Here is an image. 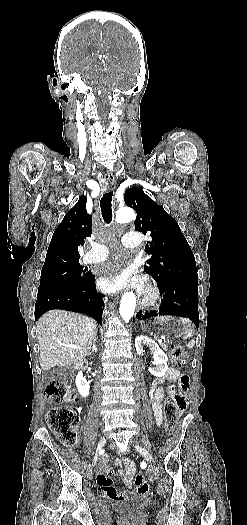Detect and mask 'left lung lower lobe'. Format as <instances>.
Here are the masks:
<instances>
[{"mask_svg": "<svg viewBox=\"0 0 247 525\" xmlns=\"http://www.w3.org/2000/svg\"><path fill=\"white\" fill-rule=\"evenodd\" d=\"M160 293L163 295L159 312L138 313L137 318L142 319L157 315H175L187 317L195 326H199L198 290L197 285L188 283H158Z\"/></svg>", "mask_w": 247, "mask_h": 525, "instance_id": "left-lung-lower-lobe-1", "label": "left lung lower lobe"}]
</instances>
